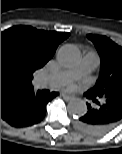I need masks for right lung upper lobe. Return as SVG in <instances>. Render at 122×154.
I'll list each match as a JSON object with an SVG mask.
<instances>
[{"mask_svg": "<svg viewBox=\"0 0 122 154\" xmlns=\"http://www.w3.org/2000/svg\"><path fill=\"white\" fill-rule=\"evenodd\" d=\"M69 33L17 25L1 33V104L33 88V73L54 55Z\"/></svg>", "mask_w": 122, "mask_h": 154, "instance_id": "right-lung-upper-lobe-1", "label": "right lung upper lobe"}]
</instances>
